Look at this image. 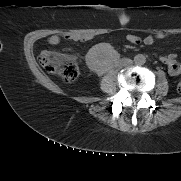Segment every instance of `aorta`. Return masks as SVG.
<instances>
[{
	"label": "aorta",
	"instance_id": "762f6f07",
	"mask_svg": "<svg viewBox=\"0 0 181 181\" xmlns=\"http://www.w3.org/2000/svg\"><path fill=\"white\" fill-rule=\"evenodd\" d=\"M134 62H135V64H137V65H143V64L146 62V57H145V55H143V54H137V55L134 57Z\"/></svg>",
	"mask_w": 181,
	"mask_h": 181
}]
</instances>
